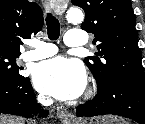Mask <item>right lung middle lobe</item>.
<instances>
[{"label":"right lung middle lobe","mask_w":145,"mask_h":124,"mask_svg":"<svg viewBox=\"0 0 145 124\" xmlns=\"http://www.w3.org/2000/svg\"><path fill=\"white\" fill-rule=\"evenodd\" d=\"M19 55L10 54L0 51V74H4L14 78H21L19 67L16 65V58Z\"/></svg>","instance_id":"dd1d6c3e"}]
</instances>
